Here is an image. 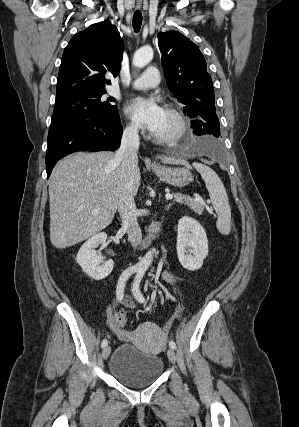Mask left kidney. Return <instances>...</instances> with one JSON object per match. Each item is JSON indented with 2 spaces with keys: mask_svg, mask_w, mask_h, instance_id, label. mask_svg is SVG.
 Returning <instances> with one entry per match:
<instances>
[{
  "mask_svg": "<svg viewBox=\"0 0 299 427\" xmlns=\"http://www.w3.org/2000/svg\"><path fill=\"white\" fill-rule=\"evenodd\" d=\"M177 255L181 265L190 271L201 268L208 255V239L201 224L188 216L178 223Z\"/></svg>",
  "mask_w": 299,
  "mask_h": 427,
  "instance_id": "left-kidney-1",
  "label": "left kidney"
}]
</instances>
